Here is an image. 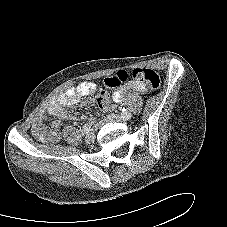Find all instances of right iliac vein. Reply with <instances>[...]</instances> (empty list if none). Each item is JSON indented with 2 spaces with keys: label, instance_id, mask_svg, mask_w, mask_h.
Wrapping results in <instances>:
<instances>
[{
  "label": "right iliac vein",
  "instance_id": "63e3f726",
  "mask_svg": "<svg viewBox=\"0 0 227 227\" xmlns=\"http://www.w3.org/2000/svg\"><path fill=\"white\" fill-rule=\"evenodd\" d=\"M85 141L87 143H93L95 141V134L93 132H89L86 136H85Z\"/></svg>",
  "mask_w": 227,
  "mask_h": 227
}]
</instances>
